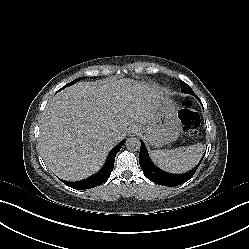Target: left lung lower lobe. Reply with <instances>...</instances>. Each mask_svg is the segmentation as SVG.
Returning <instances> with one entry per match:
<instances>
[{
	"label": "left lung lower lobe",
	"mask_w": 249,
	"mask_h": 249,
	"mask_svg": "<svg viewBox=\"0 0 249 249\" xmlns=\"http://www.w3.org/2000/svg\"><path fill=\"white\" fill-rule=\"evenodd\" d=\"M139 162L146 177L152 182L163 186H175L177 184H182L183 182L187 181L197 169L195 168L194 170L183 175H170L157 169L149 160L148 154L142 141L139 154Z\"/></svg>",
	"instance_id": "0a47b994"
}]
</instances>
